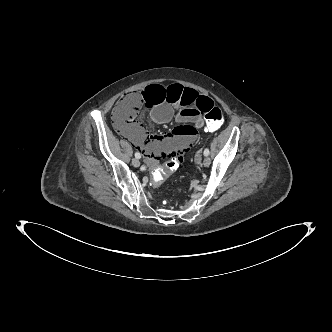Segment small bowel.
Instances as JSON below:
<instances>
[{
  "label": "small bowel",
  "mask_w": 332,
  "mask_h": 332,
  "mask_svg": "<svg viewBox=\"0 0 332 332\" xmlns=\"http://www.w3.org/2000/svg\"><path fill=\"white\" fill-rule=\"evenodd\" d=\"M142 106L150 112L155 124L167 123L175 118L179 123L172 132L162 135L147 134L138 123L118 127V132L144 153L149 166L156 165L161 158H180L186 149L195 145L197 129L212 131L203 120L204 112L214 104L213 100L198 93L195 89L173 83L166 87L160 84L148 85L141 94ZM175 108H179L175 113ZM199 160V155L196 156Z\"/></svg>",
  "instance_id": "c3829d8e"
}]
</instances>
